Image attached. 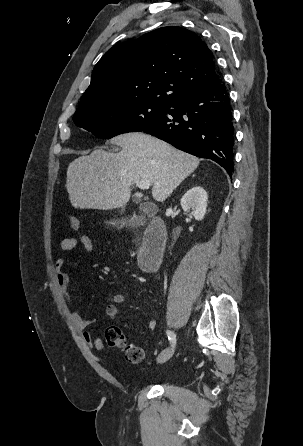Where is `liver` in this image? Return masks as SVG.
<instances>
[{
    "label": "liver",
    "mask_w": 303,
    "mask_h": 446,
    "mask_svg": "<svg viewBox=\"0 0 303 446\" xmlns=\"http://www.w3.org/2000/svg\"><path fill=\"white\" fill-rule=\"evenodd\" d=\"M111 143L119 153L96 149L72 161L66 188L74 208L110 210L130 199L131 186L143 180L152 185V196L165 201L199 165L200 160L144 133H127Z\"/></svg>",
    "instance_id": "obj_1"
}]
</instances>
